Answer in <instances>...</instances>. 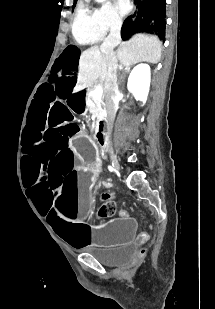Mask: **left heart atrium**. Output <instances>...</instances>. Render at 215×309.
<instances>
[{
	"label": "left heart atrium",
	"instance_id": "1",
	"mask_svg": "<svg viewBox=\"0 0 215 309\" xmlns=\"http://www.w3.org/2000/svg\"><path fill=\"white\" fill-rule=\"evenodd\" d=\"M115 4L117 7H126L127 2L126 0H114Z\"/></svg>",
	"mask_w": 215,
	"mask_h": 309
}]
</instances>
